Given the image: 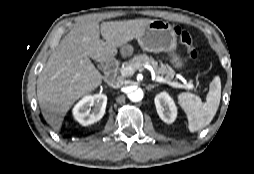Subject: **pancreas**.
<instances>
[{"mask_svg":"<svg viewBox=\"0 0 254 174\" xmlns=\"http://www.w3.org/2000/svg\"><path fill=\"white\" fill-rule=\"evenodd\" d=\"M145 64L152 66L156 76H161L167 80H172L175 76V71L169 65L163 64L161 61L157 62L145 53L134 56L129 62H125L124 66H133L135 69L141 70Z\"/></svg>","mask_w":254,"mask_h":174,"instance_id":"1","label":"pancreas"}]
</instances>
